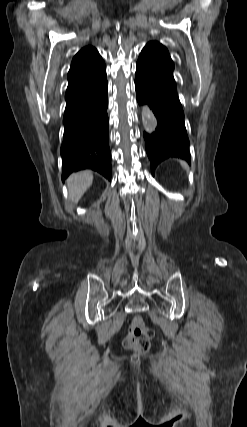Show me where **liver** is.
Segmentation results:
<instances>
[{
  "mask_svg": "<svg viewBox=\"0 0 247 427\" xmlns=\"http://www.w3.org/2000/svg\"><path fill=\"white\" fill-rule=\"evenodd\" d=\"M93 182V174L90 171H81L72 174L67 180L69 198L77 203Z\"/></svg>",
  "mask_w": 247,
  "mask_h": 427,
  "instance_id": "6515ba94",
  "label": "liver"
}]
</instances>
